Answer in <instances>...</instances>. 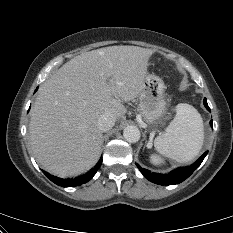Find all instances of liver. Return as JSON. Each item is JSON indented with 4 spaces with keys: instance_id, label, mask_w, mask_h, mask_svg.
I'll return each mask as SVG.
<instances>
[{
    "instance_id": "obj_1",
    "label": "liver",
    "mask_w": 233,
    "mask_h": 233,
    "mask_svg": "<svg viewBox=\"0 0 233 233\" xmlns=\"http://www.w3.org/2000/svg\"><path fill=\"white\" fill-rule=\"evenodd\" d=\"M153 50L109 46L78 55L40 87L31 109L29 141L36 161L61 177L77 176L99 159V117L121 119L138 97Z\"/></svg>"
}]
</instances>
